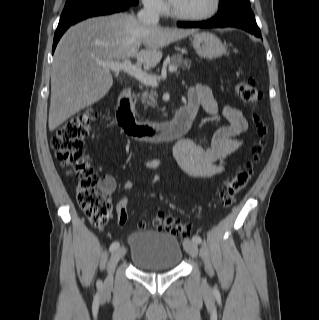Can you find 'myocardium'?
Wrapping results in <instances>:
<instances>
[{"mask_svg": "<svg viewBox=\"0 0 319 320\" xmlns=\"http://www.w3.org/2000/svg\"><path fill=\"white\" fill-rule=\"evenodd\" d=\"M221 5V0H213L212 1V7L209 11L203 14H196V15H186L178 13L174 7L171 8V15L175 19H178L180 21H187V22H197V21H204L212 18L216 13L219 11Z\"/></svg>", "mask_w": 319, "mask_h": 320, "instance_id": "obj_1", "label": "myocardium"}]
</instances>
